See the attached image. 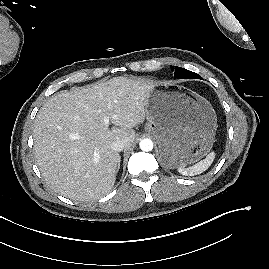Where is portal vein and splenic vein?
<instances>
[{
  "label": "portal vein and splenic vein",
  "instance_id": "portal-vein-and-splenic-vein-1",
  "mask_svg": "<svg viewBox=\"0 0 269 269\" xmlns=\"http://www.w3.org/2000/svg\"><path fill=\"white\" fill-rule=\"evenodd\" d=\"M104 123H105L106 126H108L109 125V119L108 118H105L104 119ZM94 160L95 161H98V156H96Z\"/></svg>",
  "mask_w": 269,
  "mask_h": 269
}]
</instances>
